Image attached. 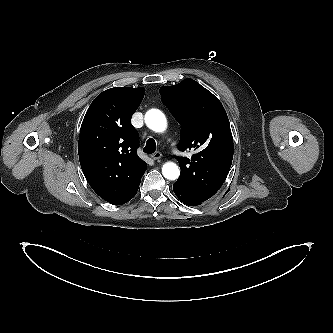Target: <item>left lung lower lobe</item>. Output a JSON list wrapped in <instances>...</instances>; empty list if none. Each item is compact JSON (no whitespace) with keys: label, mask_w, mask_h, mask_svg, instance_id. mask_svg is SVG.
I'll return each instance as SVG.
<instances>
[{"label":"left lung lower lobe","mask_w":333,"mask_h":333,"mask_svg":"<svg viewBox=\"0 0 333 333\" xmlns=\"http://www.w3.org/2000/svg\"><path fill=\"white\" fill-rule=\"evenodd\" d=\"M173 190L176 196L186 205L189 206H196L202 204L203 201L198 199L192 194L187 193L186 191L182 190L179 187L173 185Z\"/></svg>","instance_id":"1"}]
</instances>
